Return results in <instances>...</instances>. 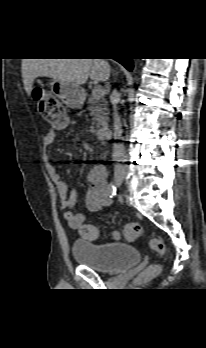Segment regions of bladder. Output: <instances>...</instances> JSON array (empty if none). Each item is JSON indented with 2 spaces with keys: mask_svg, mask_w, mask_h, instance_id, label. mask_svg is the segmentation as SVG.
I'll list each match as a JSON object with an SVG mask.
<instances>
[{
  "mask_svg": "<svg viewBox=\"0 0 206 348\" xmlns=\"http://www.w3.org/2000/svg\"><path fill=\"white\" fill-rule=\"evenodd\" d=\"M72 254L78 265L103 273L119 272L140 260L135 247L117 242L97 244L77 240L72 244Z\"/></svg>",
  "mask_w": 206,
  "mask_h": 348,
  "instance_id": "bladder-1",
  "label": "bladder"
}]
</instances>
